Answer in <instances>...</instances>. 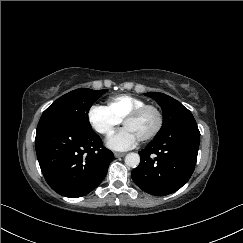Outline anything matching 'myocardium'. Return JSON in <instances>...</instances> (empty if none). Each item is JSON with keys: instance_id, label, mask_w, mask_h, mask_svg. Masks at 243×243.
Returning <instances> with one entry per match:
<instances>
[{"instance_id": "1", "label": "myocardium", "mask_w": 243, "mask_h": 243, "mask_svg": "<svg viewBox=\"0 0 243 243\" xmlns=\"http://www.w3.org/2000/svg\"><path fill=\"white\" fill-rule=\"evenodd\" d=\"M153 111L157 117V123L155 128L151 131L150 134H148L145 138L139 140L141 143H147L151 140H153L161 131L163 124H164V116L162 113V110L156 106V105H150V104H145L141 107H138L136 109H134L133 111H131L128 115H126L123 118V124H125L126 122L130 121V120H135L137 118H139L142 114H144L146 111Z\"/></svg>"}]
</instances>
